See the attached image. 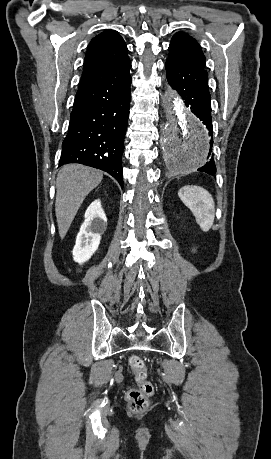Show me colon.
Returning a JSON list of instances; mask_svg holds the SVG:
<instances>
[{
  "instance_id": "1",
  "label": "colon",
  "mask_w": 271,
  "mask_h": 459,
  "mask_svg": "<svg viewBox=\"0 0 271 459\" xmlns=\"http://www.w3.org/2000/svg\"><path fill=\"white\" fill-rule=\"evenodd\" d=\"M129 365L138 386L126 392V400L133 411L140 412L147 408L154 387L148 380L147 366L141 357L138 355L130 356Z\"/></svg>"
}]
</instances>
